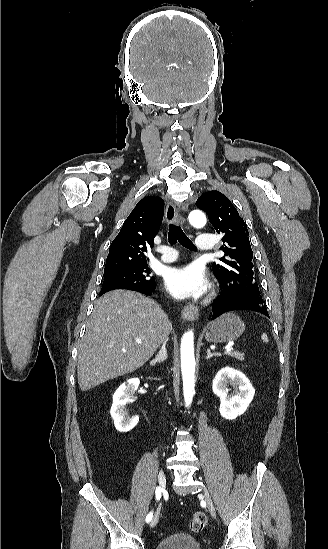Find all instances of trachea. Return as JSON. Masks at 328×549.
<instances>
[{
	"label": "trachea",
	"mask_w": 328,
	"mask_h": 549,
	"mask_svg": "<svg viewBox=\"0 0 328 549\" xmlns=\"http://www.w3.org/2000/svg\"><path fill=\"white\" fill-rule=\"evenodd\" d=\"M168 241L170 245H174L176 242H179L186 249L196 250V246L187 237V235L184 234L181 227L173 225L172 223L169 225L168 229Z\"/></svg>",
	"instance_id": "3493384b"
}]
</instances>
